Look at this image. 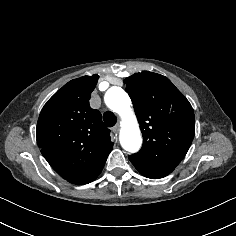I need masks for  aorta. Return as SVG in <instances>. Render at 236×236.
I'll list each match as a JSON object with an SVG mask.
<instances>
[{"label":"aorta","instance_id":"762f6f07","mask_svg":"<svg viewBox=\"0 0 236 236\" xmlns=\"http://www.w3.org/2000/svg\"><path fill=\"white\" fill-rule=\"evenodd\" d=\"M104 99L106 105L122 119L119 135L121 146L130 153L137 152L141 147L142 138L128 94L120 87H112L106 92Z\"/></svg>","mask_w":236,"mask_h":236}]
</instances>
